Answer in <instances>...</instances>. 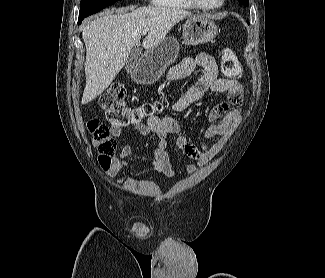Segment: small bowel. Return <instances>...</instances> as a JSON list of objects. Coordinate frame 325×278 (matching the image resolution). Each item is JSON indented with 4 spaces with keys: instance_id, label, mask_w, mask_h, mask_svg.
<instances>
[{
    "instance_id": "c3829d8e",
    "label": "small bowel",
    "mask_w": 325,
    "mask_h": 278,
    "mask_svg": "<svg viewBox=\"0 0 325 278\" xmlns=\"http://www.w3.org/2000/svg\"><path fill=\"white\" fill-rule=\"evenodd\" d=\"M197 67L203 69L202 76L177 101L170 103L168 108L172 112H182L200 100L208 91L226 93L227 100L216 105L208 114L209 126L204 137L206 141L219 137L220 139L216 143L213 145L203 143L200 147L191 143L182 134L178 122L170 116L153 115L148 118L146 123L132 124L127 128L128 131L143 136L152 133L158 136L159 142L152 150V157L148 159V163L168 178H173L176 175L167 152L170 136L175 137L177 148L188 159L187 172L194 174L197 171L196 164H204L213 157L225 145L241 121L240 105L245 94V87L238 80L220 78L217 63L211 55L200 53L195 57L184 58L170 69L165 82L185 78L192 74ZM123 131V127L111 126V132L115 137H120ZM132 152L133 149L130 145H124L113 157L107 175L109 177L116 176L129 163L128 159Z\"/></svg>"
}]
</instances>
